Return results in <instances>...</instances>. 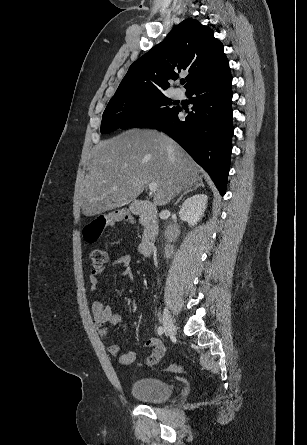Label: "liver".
<instances>
[{"label":"liver","mask_w":307,"mask_h":445,"mask_svg":"<svg viewBox=\"0 0 307 445\" xmlns=\"http://www.w3.org/2000/svg\"><path fill=\"white\" fill-rule=\"evenodd\" d=\"M198 172L193 158L164 132L125 130L94 146L82 212L94 216L124 206L143 192L147 182H157L155 204H167L181 190L199 184Z\"/></svg>","instance_id":"obj_1"}]
</instances>
